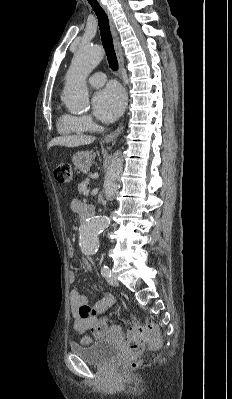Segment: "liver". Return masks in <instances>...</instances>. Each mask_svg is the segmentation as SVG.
I'll return each instance as SVG.
<instances>
[{
	"label": "liver",
	"instance_id": "liver-1",
	"mask_svg": "<svg viewBox=\"0 0 232 399\" xmlns=\"http://www.w3.org/2000/svg\"><path fill=\"white\" fill-rule=\"evenodd\" d=\"M95 138L93 136H59V138H53L49 142L47 148L52 146H66V148H76V146H86V144H92Z\"/></svg>",
	"mask_w": 232,
	"mask_h": 399
}]
</instances>
